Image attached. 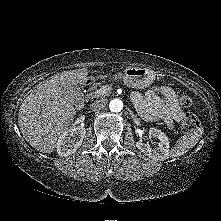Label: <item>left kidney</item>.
Listing matches in <instances>:
<instances>
[{
	"instance_id": "obj_1",
	"label": "left kidney",
	"mask_w": 221,
	"mask_h": 221,
	"mask_svg": "<svg viewBox=\"0 0 221 221\" xmlns=\"http://www.w3.org/2000/svg\"><path fill=\"white\" fill-rule=\"evenodd\" d=\"M149 136L159 139L158 147L151 148L149 145L143 144L142 142H137L136 147L143 152L145 156L153 160H166L169 156V139L166 134L157 128H150Z\"/></svg>"
}]
</instances>
